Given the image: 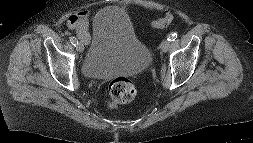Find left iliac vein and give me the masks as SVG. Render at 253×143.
<instances>
[{
  "label": "left iliac vein",
  "mask_w": 253,
  "mask_h": 143,
  "mask_svg": "<svg viewBox=\"0 0 253 143\" xmlns=\"http://www.w3.org/2000/svg\"><path fill=\"white\" fill-rule=\"evenodd\" d=\"M169 48H170V41H168V40L163 41L161 44V50L163 52H167L169 50Z\"/></svg>",
  "instance_id": "4c4485c4"
}]
</instances>
